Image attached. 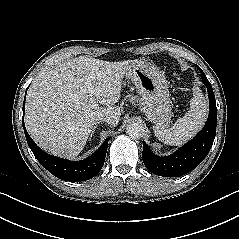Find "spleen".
I'll list each match as a JSON object with an SVG mask.
<instances>
[{"mask_svg":"<svg viewBox=\"0 0 239 239\" xmlns=\"http://www.w3.org/2000/svg\"><path fill=\"white\" fill-rule=\"evenodd\" d=\"M207 113L206 99L200 90L196 88L190 101V110L183 117L177 119L170 129L154 126L155 136L159 141L167 145L180 146L202 129L207 119Z\"/></svg>","mask_w":239,"mask_h":239,"instance_id":"3e777b00","label":"spleen"}]
</instances>
